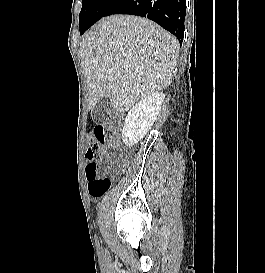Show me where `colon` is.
Returning a JSON list of instances; mask_svg holds the SVG:
<instances>
[{"label": "colon", "mask_w": 265, "mask_h": 273, "mask_svg": "<svg viewBox=\"0 0 265 273\" xmlns=\"http://www.w3.org/2000/svg\"><path fill=\"white\" fill-rule=\"evenodd\" d=\"M119 124L111 122L108 124L97 125L93 130V140L87 152L90 164L85 168L86 176L89 181L88 189L93 197L103 196L111 187V180L108 177L98 178L97 173L99 166L97 160L106 151L116 150V135L118 133ZM128 164L127 155H121L118 158V168H125Z\"/></svg>", "instance_id": "colon-1"}]
</instances>
